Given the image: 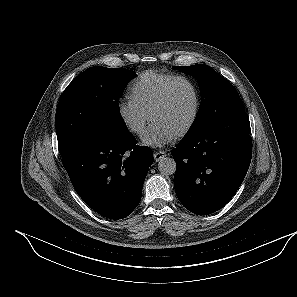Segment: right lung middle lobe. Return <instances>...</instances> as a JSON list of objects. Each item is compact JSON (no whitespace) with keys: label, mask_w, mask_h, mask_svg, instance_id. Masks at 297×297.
<instances>
[{"label":"right lung middle lobe","mask_w":297,"mask_h":297,"mask_svg":"<svg viewBox=\"0 0 297 297\" xmlns=\"http://www.w3.org/2000/svg\"><path fill=\"white\" fill-rule=\"evenodd\" d=\"M136 74L122 68L90 67L64 90L55 115L61 156L91 134L128 132L119 110V97Z\"/></svg>","instance_id":"1"}]
</instances>
